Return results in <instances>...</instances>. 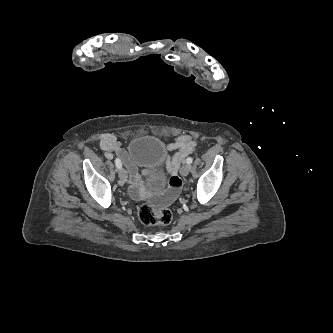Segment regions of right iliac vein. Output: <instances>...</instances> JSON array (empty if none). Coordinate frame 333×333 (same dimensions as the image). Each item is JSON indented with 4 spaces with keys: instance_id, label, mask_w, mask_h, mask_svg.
<instances>
[{
    "instance_id": "63e3f726",
    "label": "right iliac vein",
    "mask_w": 333,
    "mask_h": 333,
    "mask_svg": "<svg viewBox=\"0 0 333 333\" xmlns=\"http://www.w3.org/2000/svg\"><path fill=\"white\" fill-rule=\"evenodd\" d=\"M118 174L120 183H125L128 177L127 171L124 168H120Z\"/></svg>"
}]
</instances>
